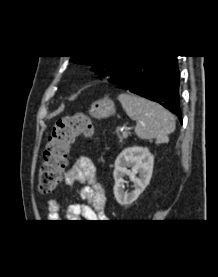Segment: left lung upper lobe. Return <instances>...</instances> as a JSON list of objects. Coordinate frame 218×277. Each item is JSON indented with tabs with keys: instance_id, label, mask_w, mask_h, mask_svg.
Masks as SVG:
<instances>
[{
	"instance_id": "1",
	"label": "left lung upper lobe",
	"mask_w": 218,
	"mask_h": 277,
	"mask_svg": "<svg viewBox=\"0 0 218 277\" xmlns=\"http://www.w3.org/2000/svg\"><path fill=\"white\" fill-rule=\"evenodd\" d=\"M135 56H71V60L92 67L102 78H109L121 70Z\"/></svg>"
}]
</instances>
